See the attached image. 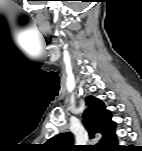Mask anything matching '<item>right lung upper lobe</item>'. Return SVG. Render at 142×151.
<instances>
[{
    "label": "right lung upper lobe",
    "instance_id": "1",
    "mask_svg": "<svg viewBox=\"0 0 142 151\" xmlns=\"http://www.w3.org/2000/svg\"><path fill=\"white\" fill-rule=\"evenodd\" d=\"M86 103L88 108L84 112L83 123L90 137H94L96 133L102 135L100 146L108 150L117 142L115 135L116 123L111 120V113L106 109L101 100L93 96H88ZM72 141L71 133H61L47 142V148L52 150H73L75 146L72 144Z\"/></svg>",
    "mask_w": 142,
    "mask_h": 151
}]
</instances>
